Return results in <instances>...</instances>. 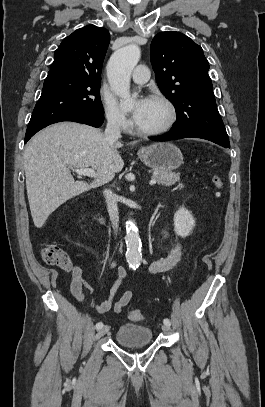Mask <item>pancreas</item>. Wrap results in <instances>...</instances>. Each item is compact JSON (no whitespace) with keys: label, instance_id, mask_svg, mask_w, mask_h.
<instances>
[{"label":"pancreas","instance_id":"obj_1","mask_svg":"<svg viewBox=\"0 0 265 407\" xmlns=\"http://www.w3.org/2000/svg\"><path fill=\"white\" fill-rule=\"evenodd\" d=\"M152 178L156 179L160 185L172 186L180 180V174L171 171H157Z\"/></svg>","mask_w":265,"mask_h":407}]
</instances>
